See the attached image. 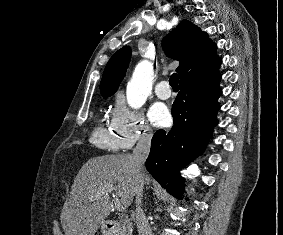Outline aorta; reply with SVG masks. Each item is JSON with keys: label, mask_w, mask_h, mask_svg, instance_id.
<instances>
[{"label": "aorta", "mask_w": 283, "mask_h": 235, "mask_svg": "<svg viewBox=\"0 0 283 235\" xmlns=\"http://www.w3.org/2000/svg\"><path fill=\"white\" fill-rule=\"evenodd\" d=\"M153 76V66L149 61L143 60L138 63L126 90L130 107L137 109L145 103L152 89Z\"/></svg>", "instance_id": "aorta-1"}]
</instances>
